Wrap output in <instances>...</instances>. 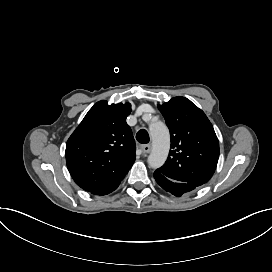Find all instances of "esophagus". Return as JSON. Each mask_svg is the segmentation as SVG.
Listing matches in <instances>:
<instances>
[{
  "label": "esophagus",
  "mask_w": 272,
  "mask_h": 272,
  "mask_svg": "<svg viewBox=\"0 0 272 272\" xmlns=\"http://www.w3.org/2000/svg\"><path fill=\"white\" fill-rule=\"evenodd\" d=\"M141 149L144 153H150L151 151V146L150 145H143L141 146Z\"/></svg>",
  "instance_id": "obj_1"
}]
</instances>
